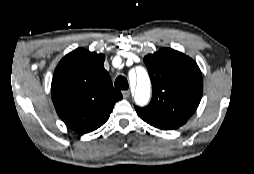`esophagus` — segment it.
Listing matches in <instances>:
<instances>
[{
    "label": "esophagus",
    "instance_id": "1",
    "mask_svg": "<svg viewBox=\"0 0 254 174\" xmlns=\"http://www.w3.org/2000/svg\"><path fill=\"white\" fill-rule=\"evenodd\" d=\"M122 94H123L124 98H129L131 93L129 90H124V91H122Z\"/></svg>",
    "mask_w": 254,
    "mask_h": 174
}]
</instances>
